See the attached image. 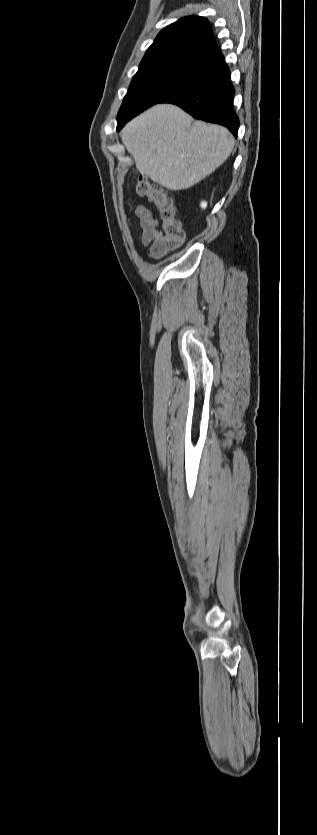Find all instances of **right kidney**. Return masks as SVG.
Segmentation results:
<instances>
[{
    "label": "right kidney",
    "mask_w": 317,
    "mask_h": 835,
    "mask_svg": "<svg viewBox=\"0 0 317 835\" xmlns=\"http://www.w3.org/2000/svg\"><path fill=\"white\" fill-rule=\"evenodd\" d=\"M200 206H201V208L205 209L207 207V202L206 201H201Z\"/></svg>",
    "instance_id": "obj_1"
}]
</instances>
